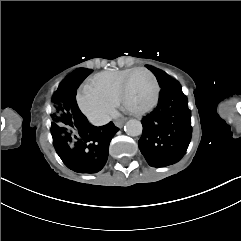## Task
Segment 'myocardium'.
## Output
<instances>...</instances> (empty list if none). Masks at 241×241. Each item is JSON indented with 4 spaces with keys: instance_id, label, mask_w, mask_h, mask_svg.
<instances>
[{
    "instance_id": "f54148a6",
    "label": "myocardium",
    "mask_w": 241,
    "mask_h": 241,
    "mask_svg": "<svg viewBox=\"0 0 241 241\" xmlns=\"http://www.w3.org/2000/svg\"><path fill=\"white\" fill-rule=\"evenodd\" d=\"M144 72L147 75L148 80L152 83L153 87V98L152 102L149 103L146 106V109L143 110V113L141 114L142 118H145L149 112H152L153 109L156 108L157 103L160 102V97H159V90H158V80L156 79V76L151 70H148L147 67H139V68H133L130 70L124 77L123 79L119 82V102L124 103L125 100L127 99V94L126 91L124 90V83L128 80H130L134 75H137L138 73Z\"/></svg>"
}]
</instances>
